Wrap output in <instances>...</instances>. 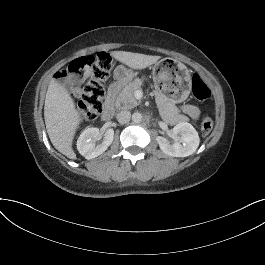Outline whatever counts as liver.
Masks as SVG:
<instances>
[{"mask_svg":"<svg viewBox=\"0 0 265 265\" xmlns=\"http://www.w3.org/2000/svg\"><path fill=\"white\" fill-rule=\"evenodd\" d=\"M112 57L133 69H144L156 63L160 56L112 51ZM44 118L47 133L54 147L70 159H76L72 140L80 122L79 112L67 89L52 79L48 85Z\"/></svg>","mask_w":265,"mask_h":265,"instance_id":"6515ba94","label":"liver"}]
</instances>
